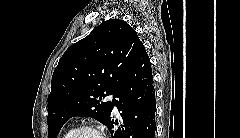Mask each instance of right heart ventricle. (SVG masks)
Masks as SVG:
<instances>
[{"mask_svg":"<svg viewBox=\"0 0 240 138\" xmlns=\"http://www.w3.org/2000/svg\"><path fill=\"white\" fill-rule=\"evenodd\" d=\"M72 131H73V130H71V131H69V132L67 133L66 138L70 135V133H71Z\"/></svg>","mask_w":240,"mask_h":138,"instance_id":"1","label":"right heart ventricle"}]
</instances>
